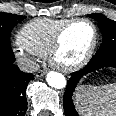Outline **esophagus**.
<instances>
[{"label":"esophagus","instance_id":"34e87169","mask_svg":"<svg viewBox=\"0 0 116 116\" xmlns=\"http://www.w3.org/2000/svg\"><path fill=\"white\" fill-rule=\"evenodd\" d=\"M46 73H47V70H39V71L36 73V77H37V78H40V77L44 76Z\"/></svg>","mask_w":116,"mask_h":116}]
</instances>
